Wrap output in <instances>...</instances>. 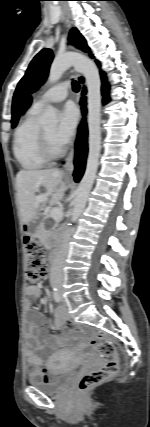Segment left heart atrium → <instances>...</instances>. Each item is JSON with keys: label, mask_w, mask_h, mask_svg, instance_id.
I'll list each match as a JSON object with an SVG mask.
<instances>
[{"label": "left heart atrium", "mask_w": 150, "mask_h": 427, "mask_svg": "<svg viewBox=\"0 0 150 427\" xmlns=\"http://www.w3.org/2000/svg\"><path fill=\"white\" fill-rule=\"evenodd\" d=\"M78 124V115L75 108L67 105L61 112L60 122L56 129L54 140L61 148L67 145L75 135Z\"/></svg>", "instance_id": "39dd6f15"}]
</instances>
